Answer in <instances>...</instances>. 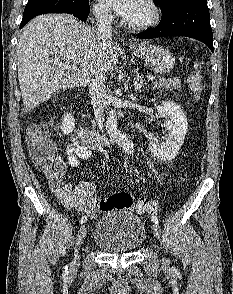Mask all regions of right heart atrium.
I'll return each mask as SVG.
<instances>
[{
    "instance_id": "right-heart-atrium-1",
    "label": "right heart atrium",
    "mask_w": 233,
    "mask_h": 294,
    "mask_svg": "<svg viewBox=\"0 0 233 294\" xmlns=\"http://www.w3.org/2000/svg\"><path fill=\"white\" fill-rule=\"evenodd\" d=\"M92 11L97 20L102 22H107L112 20L113 15L110 8L102 2V0H97L92 5Z\"/></svg>"
}]
</instances>
